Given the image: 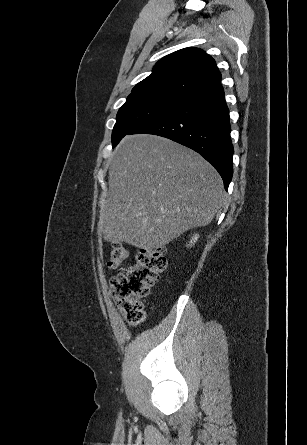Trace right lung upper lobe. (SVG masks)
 <instances>
[{
	"label": "right lung upper lobe",
	"mask_w": 307,
	"mask_h": 445,
	"mask_svg": "<svg viewBox=\"0 0 307 445\" xmlns=\"http://www.w3.org/2000/svg\"><path fill=\"white\" fill-rule=\"evenodd\" d=\"M215 61L201 49L185 48L156 63L151 75L138 83L129 96L162 95L184 100L220 83Z\"/></svg>",
	"instance_id": "obj_1"
}]
</instances>
